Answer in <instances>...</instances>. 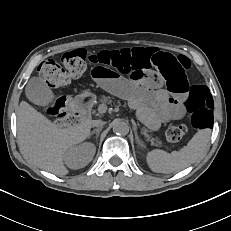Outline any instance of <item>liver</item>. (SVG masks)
I'll return each mask as SVG.
<instances>
[{
  "instance_id": "6515ba94",
  "label": "liver",
  "mask_w": 231,
  "mask_h": 231,
  "mask_svg": "<svg viewBox=\"0 0 231 231\" xmlns=\"http://www.w3.org/2000/svg\"><path fill=\"white\" fill-rule=\"evenodd\" d=\"M93 121H82L63 127L49 120L25 101L17 112L20 148L39 168L55 175L68 174L64 166L66 153L89 135Z\"/></svg>"
}]
</instances>
